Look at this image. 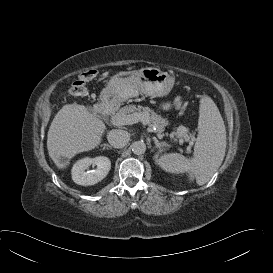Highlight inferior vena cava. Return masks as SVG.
<instances>
[{
    "instance_id": "1",
    "label": "inferior vena cava",
    "mask_w": 273,
    "mask_h": 273,
    "mask_svg": "<svg viewBox=\"0 0 273 273\" xmlns=\"http://www.w3.org/2000/svg\"><path fill=\"white\" fill-rule=\"evenodd\" d=\"M108 142L115 148H123L130 140V134L125 130L113 129L107 135Z\"/></svg>"
}]
</instances>
